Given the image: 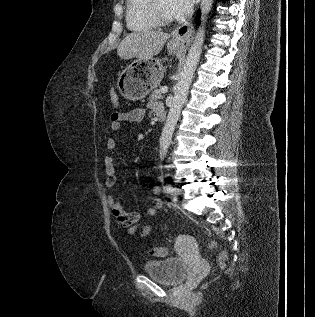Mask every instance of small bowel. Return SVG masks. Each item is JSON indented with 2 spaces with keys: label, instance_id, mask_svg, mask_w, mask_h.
Returning a JSON list of instances; mask_svg holds the SVG:
<instances>
[{
  "label": "small bowel",
  "instance_id": "obj_1",
  "mask_svg": "<svg viewBox=\"0 0 315 317\" xmlns=\"http://www.w3.org/2000/svg\"><path fill=\"white\" fill-rule=\"evenodd\" d=\"M149 108L156 113L160 109H164L161 103L155 101L149 103ZM144 116L145 110L143 108H133L127 112L114 111L110 116L111 130L118 131L123 122H140L143 120ZM105 148L108 152L113 151L116 148V141L113 138H109L106 141ZM104 165L106 176L105 186L110 189L114 186L117 178L114 158L109 154L106 155L104 157ZM152 192L156 197L152 200V207L147 209L144 213L128 212L113 195L108 196V204L115 219L122 228L127 230L129 235L135 234L138 230L140 231L142 238H146L150 234L151 224L147 220L153 217L163 206L162 200L157 197L161 193V188L159 186H154Z\"/></svg>",
  "mask_w": 315,
  "mask_h": 317
}]
</instances>
